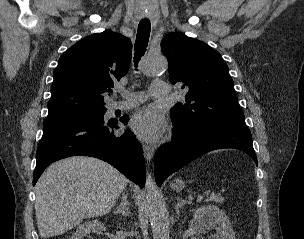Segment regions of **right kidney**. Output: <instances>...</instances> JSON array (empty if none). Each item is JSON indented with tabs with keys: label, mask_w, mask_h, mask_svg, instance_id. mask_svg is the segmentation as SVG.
<instances>
[{
	"label": "right kidney",
	"mask_w": 304,
	"mask_h": 239,
	"mask_svg": "<svg viewBox=\"0 0 304 239\" xmlns=\"http://www.w3.org/2000/svg\"><path fill=\"white\" fill-rule=\"evenodd\" d=\"M105 230L103 222L98 220H88L81 224L70 239H83L89 232H101Z\"/></svg>",
	"instance_id": "1"
}]
</instances>
